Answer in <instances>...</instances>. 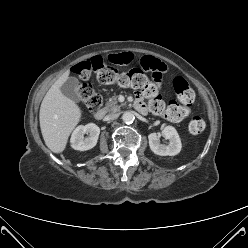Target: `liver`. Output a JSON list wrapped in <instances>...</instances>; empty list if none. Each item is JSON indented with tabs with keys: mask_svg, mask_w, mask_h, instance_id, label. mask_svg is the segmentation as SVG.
Instances as JSON below:
<instances>
[{
	"mask_svg": "<svg viewBox=\"0 0 248 248\" xmlns=\"http://www.w3.org/2000/svg\"><path fill=\"white\" fill-rule=\"evenodd\" d=\"M70 71L63 73L50 87L40 107L39 121L46 146L54 153L65 150L68 138L81 120L80 107L60 91L69 78Z\"/></svg>",
	"mask_w": 248,
	"mask_h": 248,
	"instance_id": "obj_1",
	"label": "liver"
}]
</instances>
